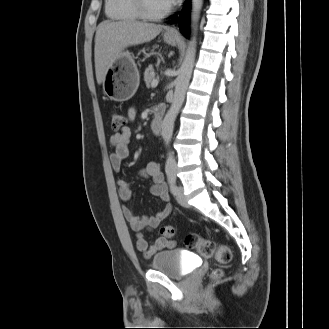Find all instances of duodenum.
<instances>
[{"label":"duodenum","mask_w":329,"mask_h":329,"mask_svg":"<svg viewBox=\"0 0 329 329\" xmlns=\"http://www.w3.org/2000/svg\"><path fill=\"white\" fill-rule=\"evenodd\" d=\"M163 117L164 108L156 107L151 121V129L155 134H159L162 131Z\"/></svg>","instance_id":"410a0bca"}]
</instances>
